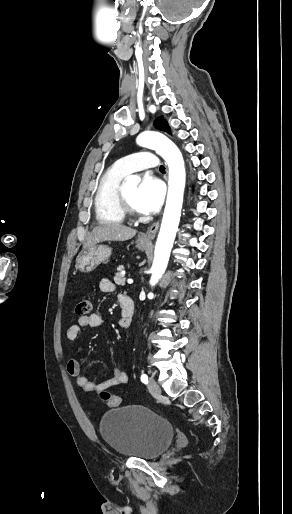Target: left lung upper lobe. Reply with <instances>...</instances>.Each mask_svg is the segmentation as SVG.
<instances>
[{
    "instance_id": "1",
    "label": "left lung upper lobe",
    "mask_w": 292,
    "mask_h": 514,
    "mask_svg": "<svg viewBox=\"0 0 292 514\" xmlns=\"http://www.w3.org/2000/svg\"><path fill=\"white\" fill-rule=\"evenodd\" d=\"M155 127L159 130L170 133V128L168 126V123L162 117H159L155 120Z\"/></svg>"
}]
</instances>
